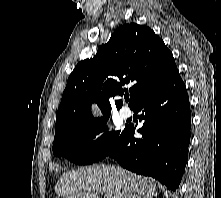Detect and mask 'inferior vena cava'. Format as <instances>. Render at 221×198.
Returning <instances> with one entry per match:
<instances>
[{"instance_id": "inferior-vena-cava-1", "label": "inferior vena cava", "mask_w": 221, "mask_h": 198, "mask_svg": "<svg viewBox=\"0 0 221 198\" xmlns=\"http://www.w3.org/2000/svg\"><path fill=\"white\" fill-rule=\"evenodd\" d=\"M124 191L128 198H135V196L131 193L130 187L125 184Z\"/></svg>"}]
</instances>
